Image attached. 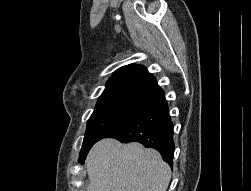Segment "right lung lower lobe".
Returning <instances> with one entry per match:
<instances>
[{
  "label": "right lung lower lobe",
  "mask_w": 251,
  "mask_h": 191,
  "mask_svg": "<svg viewBox=\"0 0 251 191\" xmlns=\"http://www.w3.org/2000/svg\"><path fill=\"white\" fill-rule=\"evenodd\" d=\"M173 134V123L163 95L107 138H115L122 143L139 142L154 148L172 167L175 149Z\"/></svg>",
  "instance_id": "1"
}]
</instances>
